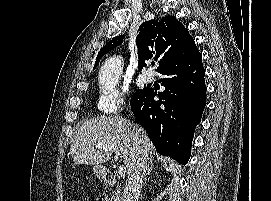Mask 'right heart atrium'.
Masks as SVG:
<instances>
[{"instance_id": "d8ad5b80", "label": "right heart atrium", "mask_w": 271, "mask_h": 201, "mask_svg": "<svg viewBox=\"0 0 271 201\" xmlns=\"http://www.w3.org/2000/svg\"><path fill=\"white\" fill-rule=\"evenodd\" d=\"M124 103L122 95L117 91H111L102 94L97 103V108L107 114H113L119 111Z\"/></svg>"}]
</instances>
